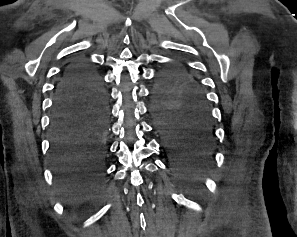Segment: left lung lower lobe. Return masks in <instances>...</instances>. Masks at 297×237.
I'll use <instances>...</instances> for the list:
<instances>
[{"instance_id":"1","label":"left lung lower lobe","mask_w":297,"mask_h":237,"mask_svg":"<svg viewBox=\"0 0 297 237\" xmlns=\"http://www.w3.org/2000/svg\"><path fill=\"white\" fill-rule=\"evenodd\" d=\"M152 111L163 146L176 162L195 164L210 160L215 134L207 106L187 101L179 106H153Z\"/></svg>"}]
</instances>
